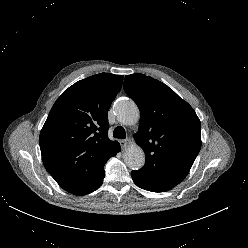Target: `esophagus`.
<instances>
[{"label":"esophagus","mask_w":248,"mask_h":248,"mask_svg":"<svg viewBox=\"0 0 248 248\" xmlns=\"http://www.w3.org/2000/svg\"><path fill=\"white\" fill-rule=\"evenodd\" d=\"M121 147L123 149H126L130 144H131V140L129 138L121 140Z\"/></svg>","instance_id":"esophagus-1"}]
</instances>
